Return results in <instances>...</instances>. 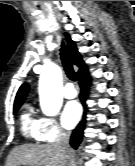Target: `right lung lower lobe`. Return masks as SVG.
Returning a JSON list of instances; mask_svg holds the SVG:
<instances>
[{
	"mask_svg": "<svg viewBox=\"0 0 135 166\" xmlns=\"http://www.w3.org/2000/svg\"><path fill=\"white\" fill-rule=\"evenodd\" d=\"M78 79H79V86L81 88L79 98L80 101L82 102L83 106L85 107V111H87L86 108V99H87V94L89 90V85L90 83V76L88 73V69L86 66H83L77 73ZM86 113H84V116ZM85 127V118L77 125V127L73 130L71 138H70V144L74 148H77V146L80 144L83 131Z\"/></svg>",
	"mask_w": 135,
	"mask_h": 166,
	"instance_id": "1",
	"label": "right lung lower lobe"
}]
</instances>
